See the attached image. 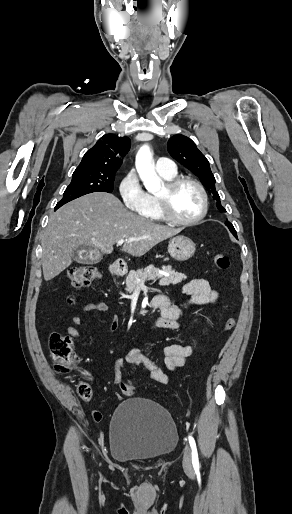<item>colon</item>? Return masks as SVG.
Listing matches in <instances>:
<instances>
[{
    "label": "colon",
    "instance_id": "1",
    "mask_svg": "<svg viewBox=\"0 0 292 514\" xmlns=\"http://www.w3.org/2000/svg\"><path fill=\"white\" fill-rule=\"evenodd\" d=\"M214 263L220 270H228L230 267V259L223 253L215 254ZM100 276L101 271L94 266L75 267L68 272L71 286L75 289L95 283ZM234 326L235 318L230 316L223 325V331L229 332ZM49 348L54 369L62 375L70 373L79 360L78 353L73 349L71 337L62 333H53L49 337ZM119 392L121 395L130 397L135 392V386L131 381H127L120 385ZM78 394L83 401L88 402L91 400L93 393L86 382H81L78 385ZM92 416L94 419H99L101 412L94 410Z\"/></svg>",
    "mask_w": 292,
    "mask_h": 514
}]
</instances>
